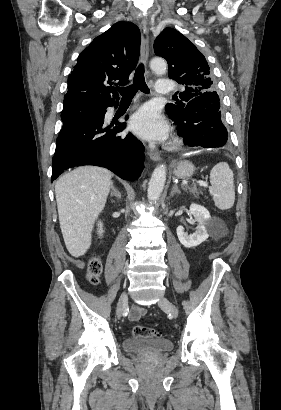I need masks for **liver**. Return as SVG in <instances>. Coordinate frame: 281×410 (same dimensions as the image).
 Segmentation results:
<instances>
[{
    "label": "liver",
    "mask_w": 281,
    "mask_h": 410,
    "mask_svg": "<svg viewBox=\"0 0 281 410\" xmlns=\"http://www.w3.org/2000/svg\"><path fill=\"white\" fill-rule=\"evenodd\" d=\"M112 185L109 170L82 166L55 184L59 223L67 250L83 256L91 246L93 224L102 212Z\"/></svg>",
    "instance_id": "1"
}]
</instances>
